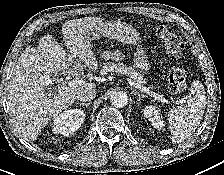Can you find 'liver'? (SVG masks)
<instances>
[{
	"label": "liver",
	"instance_id": "1",
	"mask_svg": "<svg viewBox=\"0 0 224 175\" xmlns=\"http://www.w3.org/2000/svg\"><path fill=\"white\" fill-rule=\"evenodd\" d=\"M103 23L102 18L97 17L65 22L62 34L71 54L51 35L42 36L38 48L28 47L21 54L8 88L10 116L20 137L34 141L54 116L73 104L80 90L95 88L94 83L84 82L78 86L57 85V94L53 97L44 92L58 72L74 77L83 67L90 71L98 69L88 34Z\"/></svg>",
	"mask_w": 224,
	"mask_h": 175
}]
</instances>
